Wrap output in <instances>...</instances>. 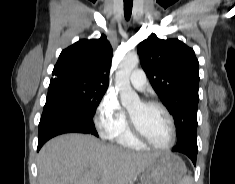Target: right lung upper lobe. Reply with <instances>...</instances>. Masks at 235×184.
I'll return each instance as SVG.
<instances>
[{"label": "right lung upper lobe", "instance_id": "obj_1", "mask_svg": "<svg viewBox=\"0 0 235 184\" xmlns=\"http://www.w3.org/2000/svg\"><path fill=\"white\" fill-rule=\"evenodd\" d=\"M112 53L105 35L81 39L64 49L54 66L48 92L67 83L108 87Z\"/></svg>", "mask_w": 235, "mask_h": 184}]
</instances>
